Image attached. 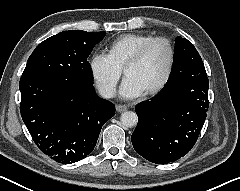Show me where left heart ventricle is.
<instances>
[{"label":"left heart ventricle","mask_w":240,"mask_h":191,"mask_svg":"<svg viewBox=\"0 0 240 191\" xmlns=\"http://www.w3.org/2000/svg\"><path fill=\"white\" fill-rule=\"evenodd\" d=\"M168 61L167 45L164 42H156L148 49L142 61L127 71L126 77L131 78L144 93L162 80Z\"/></svg>","instance_id":"left-heart-ventricle-1"}]
</instances>
